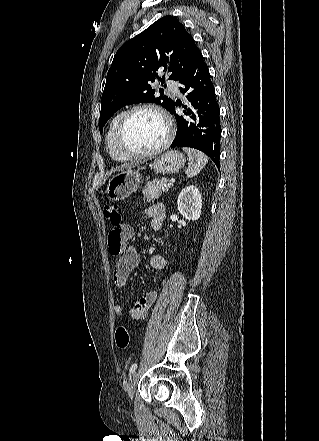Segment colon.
Instances as JSON below:
<instances>
[{
    "instance_id": "5ec220e1",
    "label": "colon",
    "mask_w": 319,
    "mask_h": 441,
    "mask_svg": "<svg viewBox=\"0 0 319 441\" xmlns=\"http://www.w3.org/2000/svg\"><path fill=\"white\" fill-rule=\"evenodd\" d=\"M103 214L109 223L114 226L111 231L112 234L117 232V229L121 226L122 216L120 212V206L116 203L106 204L103 208ZM129 333L126 327L120 326L115 332V342L118 348L126 349L129 346Z\"/></svg>"
}]
</instances>
